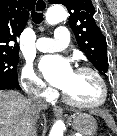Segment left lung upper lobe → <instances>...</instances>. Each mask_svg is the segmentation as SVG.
<instances>
[{
  "instance_id": "1",
  "label": "left lung upper lobe",
  "mask_w": 117,
  "mask_h": 136,
  "mask_svg": "<svg viewBox=\"0 0 117 136\" xmlns=\"http://www.w3.org/2000/svg\"><path fill=\"white\" fill-rule=\"evenodd\" d=\"M63 4L70 13V27L77 43L89 61L104 76L108 72L106 38L94 20L95 9L91 0H49Z\"/></svg>"
}]
</instances>
